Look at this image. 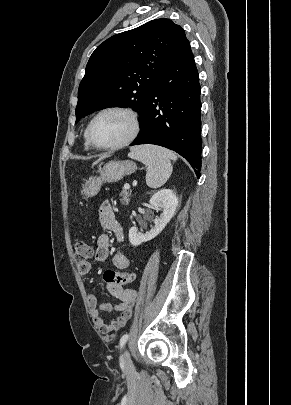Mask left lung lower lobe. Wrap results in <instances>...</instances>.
Segmentation results:
<instances>
[{"instance_id": "0a47b994", "label": "left lung lower lobe", "mask_w": 291, "mask_h": 405, "mask_svg": "<svg viewBox=\"0 0 291 405\" xmlns=\"http://www.w3.org/2000/svg\"><path fill=\"white\" fill-rule=\"evenodd\" d=\"M198 71L186 39L181 49L154 82L140 126L130 144H155L183 156L200 177L202 140Z\"/></svg>"}]
</instances>
